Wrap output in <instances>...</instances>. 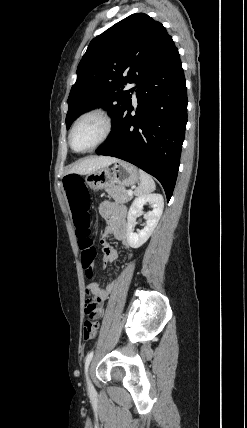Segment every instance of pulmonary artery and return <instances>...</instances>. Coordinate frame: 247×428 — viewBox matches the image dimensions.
Returning a JSON list of instances; mask_svg holds the SVG:
<instances>
[{
  "instance_id": "pulmonary-artery-1",
  "label": "pulmonary artery",
  "mask_w": 247,
  "mask_h": 428,
  "mask_svg": "<svg viewBox=\"0 0 247 428\" xmlns=\"http://www.w3.org/2000/svg\"><path fill=\"white\" fill-rule=\"evenodd\" d=\"M131 86L136 88V84L135 83L131 84Z\"/></svg>"
}]
</instances>
